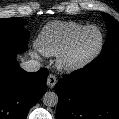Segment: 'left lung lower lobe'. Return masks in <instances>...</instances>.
I'll return each instance as SVG.
<instances>
[{
	"label": "left lung lower lobe",
	"mask_w": 119,
	"mask_h": 119,
	"mask_svg": "<svg viewBox=\"0 0 119 119\" xmlns=\"http://www.w3.org/2000/svg\"><path fill=\"white\" fill-rule=\"evenodd\" d=\"M56 119H119V58L96 60L55 85Z\"/></svg>",
	"instance_id": "1"
}]
</instances>
